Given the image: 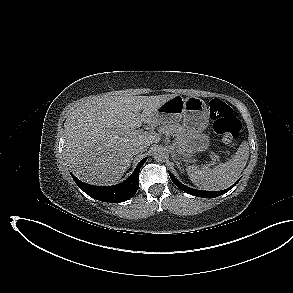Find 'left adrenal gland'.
<instances>
[{
	"label": "left adrenal gland",
	"instance_id": "a2214340",
	"mask_svg": "<svg viewBox=\"0 0 293 293\" xmlns=\"http://www.w3.org/2000/svg\"><path fill=\"white\" fill-rule=\"evenodd\" d=\"M172 157H173L175 163L177 164L178 168H180V166H179L180 163L178 162L179 157L177 156L175 151H173Z\"/></svg>",
	"mask_w": 293,
	"mask_h": 293
}]
</instances>
